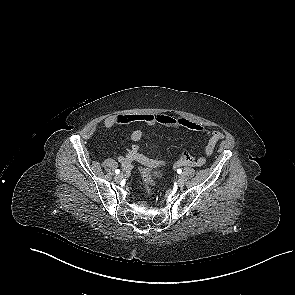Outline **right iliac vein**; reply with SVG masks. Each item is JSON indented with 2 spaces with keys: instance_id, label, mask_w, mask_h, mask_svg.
I'll return each mask as SVG.
<instances>
[{
  "instance_id": "obj_1",
  "label": "right iliac vein",
  "mask_w": 295,
  "mask_h": 295,
  "mask_svg": "<svg viewBox=\"0 0 295 295\" xmlns=\"http://www.w3.org/2000/svg\"><path fill=\"white\" fill-rule=\"evenodd\" d=\"M122 178H123V175L122 174H118L115 177L116 181H120Z\"/></svg>"
}]
</instances>
